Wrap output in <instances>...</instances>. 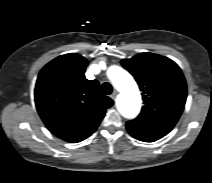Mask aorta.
<instances>
[{"label": "aorta", "instance_id": "1", "mask_svg": "<svg viewBox=\"0 0 212 183\" xmlns=\"http://www.w3.org/2000/svg\"><path fill=\"white\" fill-rule=\"evenodd\" d=\"M107 75L120 92L117 108L125 118H134L141 108V95L133 77L117 65L109 67Z\"/></svg>", "mask_w": 212, "mask_h": 183}]
</instances>
